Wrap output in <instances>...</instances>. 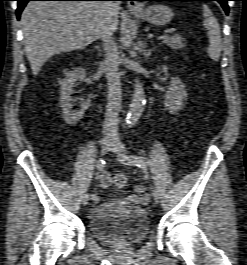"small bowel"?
<instances>
[{"label": "small bowel", "mask_w": 247, "mask_h": 265, "mask_svg": "<svg viewBox=\"0 0 247 265\" xmlns=\"http://www.w3.org/2000/svg\"><path fill=\"white\" fill-rule=\"evenodd\" d=\"M99 181L101 187L105 189L112 183V177L104 171L99 175ZM125 199L133 204L146 205L150 202V195L146 192V187L143 184H138L133 187L132 192Z\"/></svg>", "instance_id": "1"}]
</instances>
